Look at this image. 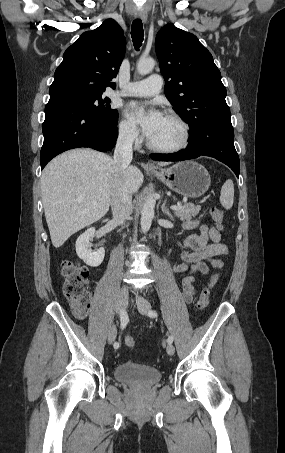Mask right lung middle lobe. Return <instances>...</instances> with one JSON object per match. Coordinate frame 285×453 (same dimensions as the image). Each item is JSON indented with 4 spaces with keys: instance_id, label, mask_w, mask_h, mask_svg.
Here are the masks:
<instances>
[{
    "instance_id": "1",
    "label": "right lung middle lobe",
    "mask_w": 285,
    "mask_h": 453,
    "mask_svg": "<svg viewBox=\"0 0 285 453\" xmlns=\"http://www.w3.org/2000/svg\"><path fill=\"white\" fill-rule=\"evenodd\" d=\"M64 96L80 104L92 116L99 120L111 122L118 118L117 110L110 107L111 101L108 98L103 99L102 94L70 92Z\"/></svg>"
}]
</instances>
